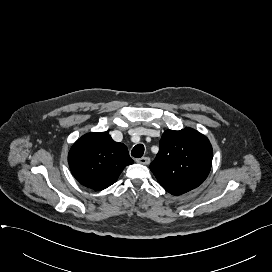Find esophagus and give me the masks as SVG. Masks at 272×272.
<instances>
[{"mask_svg":"<svg viewBox=\"0 0 272 272\" xmlns=\"http://www.w3.org/2000/svg\"><path fill=\"white\" fill-rule=\"evenodd\" d=\"M136 162L143 164V165H148L150 163V158L149 157H141L139 159H136Z\"/></svg>","mask_w":272,"mask_h":272,"instance_id":"obj_1","label":"esophagus"}]
</instances>
